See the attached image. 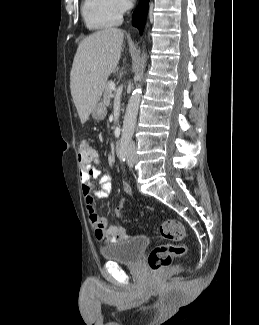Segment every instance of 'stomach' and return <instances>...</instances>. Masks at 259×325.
Returning a JSON list of instances; mask_svg holds the SVG:
<instances>
[{"mask_svg": "<svg viewBox=\"0 0 259 325\" xmlns=\"http://www.w3.org/2000/svg\"><path fill=\"white\" fill-rule=\"evenodd\" d=\"M106 114V107L103 103H97L92 111L95 120H102Z\"/></svg>", "mask_w": 259, "mask_h": 325, "instance_id": "obj_1", "label": "stomach"}]
</instances>
